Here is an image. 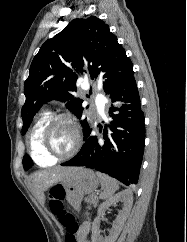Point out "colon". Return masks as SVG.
I'll return each instance as SVG.
<instances>
[{
	"label": "colon",
	"mask_w": 187,
	"mask_h": 242,
	"mask_svg": "<svg viewBox=\"0 0 187 242\" xmlns=\"http://www.w3.org/2000/svg\"><path fill=\"white\" fill-rule=\"evenodd\" d=\"M64 195L65 192L61 186L52 187L49 190V208L67 230L65 242H80V239L77 236L79 229L78 223L75 217L66 211L63 202Z\"/></svg>",
	"instance_id": "1"
}]
</instances>
